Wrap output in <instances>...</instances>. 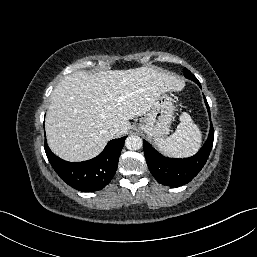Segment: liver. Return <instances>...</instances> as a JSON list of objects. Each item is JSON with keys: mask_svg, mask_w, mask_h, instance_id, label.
I'll return each instance as SVG.
<instances>
[{"mask_svg": "<svg viewBox=\"0 0 257 257\" xmlns=\"http://www.w3.org/2000/svg\"><path fill=\"white\" fill-rule=\"evenodd\" d=\"M184 82L155 67L100 71L80 70L65 76L51 93L45 119L50 149L67 161L97 156L113 138L130 129V119L146 114L155 99L180 90Z\"/></svg>", "mask_w": 257, "mask_h": 257, "instance_id": "liver-1", "label": "liver"}]
</instances>
